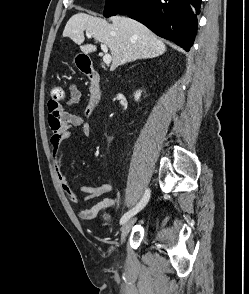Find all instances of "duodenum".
<instances>
[{
    "label": "duodenum",
    "instance_id": "duodenum-1",
    "mask_svg": "<svg viewBox=\"0 0 249 294\" xmlns=\"http://www.w3.org/2000/svg\"><path fill=\"white\" fill-rule=\"evenodd\" d=\"M81 70L87 75L89 79V97L86 107V114L91 115L100 105L102 100V93L100 89V74L89 61L83 65Z\"/></svg>",
    "mask_w": 249,
    "mask_h": 294
}]
</instances>
